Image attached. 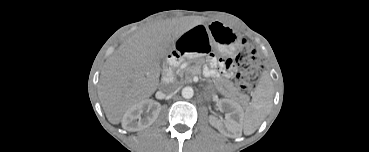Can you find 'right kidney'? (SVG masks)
<instances>
[{"instance_id":"ca27d5eb","label":"right kidney","mask_w":369,"mask_h":152,"mask_svg":"<svg viewBox=\"0 0 369 152\" xmlns=\"http://www.w3.org/2000/svg\"><path fill=\"white\" fill-rule=\"evenodd\" d=\"M161 110L160 103L145 99L130 107L123 116V123L129 131H139L154 123ZM144 111L147 115L142 117Z\"/></svg>"}]
</instances>
